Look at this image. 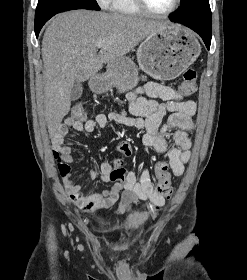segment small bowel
I'll use <instances>...</instances> for the list:
<instances>
[{"instance_id": "obj_1", "label": "small bowel", "mask_w": 247, "mask_h": 280, "mask_svg": "<svg viewBox=\"0 0 247 280\" xmlns=\"http://www.w3.org/2000/svg\"><path fill=\"white\" fill-rule=\"evenodd\" d=\"M131 116L112 111L98 114L85 121L67 117L52 133L53 151L59 164L66 169L59 170L64 188L71 201L80 209L94 215L102 209L111 208L119 202L117 214L130 211L131 207L149 199L152 207L158 209L165 202V197L154 189L149 170L144 168L139 174L130 171L126 177L127 186L121 191L109 188L102 192L86 195L81 186L72 177L69 164L74 157L71 147L65 143L70 129L77 132H92L96 127L104 129L109 121L120 127L144 130L143 144L146 149L152 148L168 160L171 173L179 177L190 158L191 140L189 132L193 129V116L196 104L191 100H183L173 88L153 81L145 83L128 94ZM169 116L162 123L166 114ZM110 163H102L97 170H90L89 177L105 183L112 182Z\"/></svg>"}]
</instances>
